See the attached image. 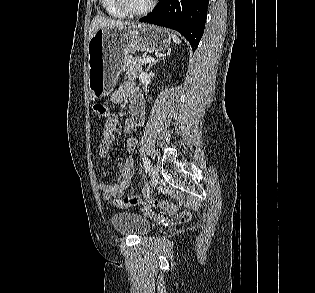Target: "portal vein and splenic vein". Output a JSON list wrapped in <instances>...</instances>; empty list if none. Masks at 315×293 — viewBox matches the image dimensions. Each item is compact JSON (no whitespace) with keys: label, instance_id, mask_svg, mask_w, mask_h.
<instances>
[{"label":"portal vein and splenic vein","instance_id":"obj_1","mask_svg":"<svg viewBox=\"0 0 315 293\" xmlns=\"http://www.w3.org/2000/svg\"><path fill=\"white\" fill-rule=\"evenodd\" d=\"M138 61H140L142 63H151L154 61V58H152V57H147V58H143V59L139 58Z\"/></svg>","mask_w":315,"mask_h":293}]
</instances>
